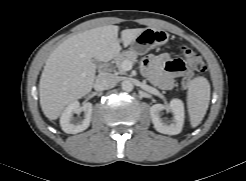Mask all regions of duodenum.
<instances>
[{"instance_id": "410a0bca", "label": "duodenum", "mask_w": 246, "mask_h": 181, "mask_svg": "<svg viewBox=\"0 0 246 181\" xmlns=\"http://www.w3.org/2000/svg\"><path fill=\"white\" fill-rule=\"evenodd\" d=\"M107 68V64L105 63L102 67H101V71L104 72Z\"/></svg>"}]
</instances>
